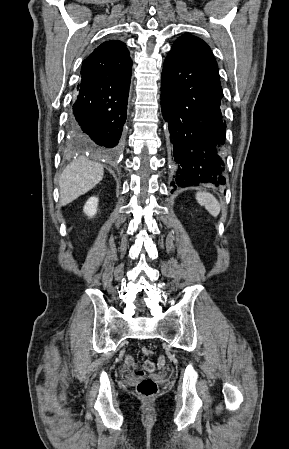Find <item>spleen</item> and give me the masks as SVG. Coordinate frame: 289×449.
Listing matches in <instances>:
<instances>
[{
	"mask_svg": "<svg viewBox=\"0 0 289 449\" xmlns=\"http://www.w3.org/2000/svg\"><path fill=\"white\" fill-rule=\"evenodd\" d=\"M196 200L200 205L204 206L212 216L216 217L220 213V204L211 193L205 191L197 192Z\"/></svg>",
	"mask_w": 289,
	"mask_h": 449,
	"instance_id": "3e777b00",
	"label": "spleen"
}]
</instances>
